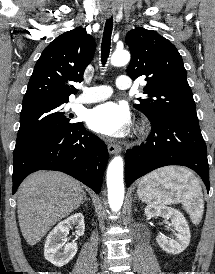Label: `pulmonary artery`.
Instances as JSON below:
<instances>
[{
    "label": "pulmonary artery",
    "mask_w": 215,
    "mask_h": 274,
    "mask_svg": "<svg viewBox=\"0 0 215 274\" xmlns=\"http://www.w3.org/2000/svg\"><path fill=\"white\" fill-rule=\"evenodd\" d=\"M116 86L121 90L129 89L131 87V80L126 75H120L116 79ZM111 94L112 89L107 85L84 87L83 93L76 101L83 104L95 103L109 98Z\"/></svg>",
    "instance_id": "pulmonary-artery-1"
}]
</instances>
